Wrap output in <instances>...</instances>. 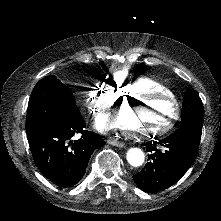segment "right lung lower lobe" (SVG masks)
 Instances as JSON below:
<instances>
[{
	"label": "right lung lower lobe",
	"mask_w": 221,
	"mask_h": 221,
	"mask_svg": "<svg viewBox=\"0 0 221 221\" xmlns=\"http://www.w3.org/2000/svg\"><path fill=\"white\" fill-rule=\"evenodd\" d=\"M83 117L66 123H53L27 132L34 161L38 169L54 184L67 188L83 177L93 151L104 140L85 128ZM76 133L79 140L71 141Z\"/></svg>",
	"instance_id": "1"
}]
</instances>
